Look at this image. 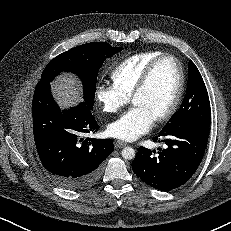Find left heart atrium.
Masks as SVG:
<instances>
[{
	"mask_svg": "<svg viewBox=\"0 0 231 231\" xmlns=\"http://www.w3.org/2000/svg\"><path fill=\"white\" fill-rule=\"evenodd\" d=\"M154 121V116L147 109L133 106L119 119L111 122L107 131L114 138L133 141L147 133L152 128Z\"/></svg>",
	"mask_w": 231,
	"mask_h": 231,
	"instance_id": "obj_1",
	"label": "left heart atrium"
}]
</instances>
